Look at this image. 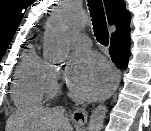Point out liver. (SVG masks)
I'll list each match as a JSON object with an SVG mask.
<instances>
[{
  "label": "liver",
  "mask_w": 151,
  "mask_h": 131,
  "mask_svg": "<svg viewBox=\"0 0 151 131\" xmlns=\"http://www.w3.org/2000/svg\"><path fill=\"white\" fill-rule=\"evenodd\" d=\"M71 131L61 108L47 109L42 106L19 109L8 119L7 131Z\"/></svg>",
  "instance_id": "liver-1"
}]
</instances>
